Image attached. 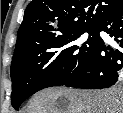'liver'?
Instances as JSON below:
<instances>
[{"label": "liver", "mask_w": 123, "mask_h": 113, "mask_svg": "<svg viewBox=\"0 0 123 113\" xmlns=\"http://www.w3.org/2000/svg\"><path fill=\"white\" fill-rule=\"evenodd\" d=\"M26 113H123V89L47 88L34 95Z\"/></svg>", "instance_id": "obj_1"}]
</instances>
